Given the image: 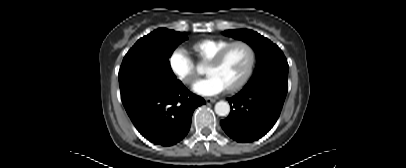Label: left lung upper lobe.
I'll return each mask as SVG.
<instances>
[{
  "instance_id": "1",
  "label": "left lung upper lobe",
  "mask_w": 406,
  "mask_h": 168,
  "mask_svg": "<svg viewBox=\"0 0 406 168\" xmlns=\"http://www.w3.org/2000/svg\"><path fill=\"white\" fill-rule=\"evenodd\" d=\"M224 34L246 42L257 54L256 69L248 83L266 80L288 83L289 66L277 45L248 29L228 30Z\"/></svg>"
}]
</instances>
